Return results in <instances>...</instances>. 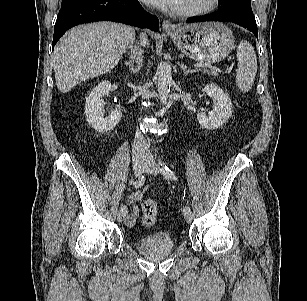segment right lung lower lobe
I'll use <instances>...</instances> for the list:
<instances>
[{
	"label": "right lung lower lobe",
	"mask_w": 307,
	"mask_h": 301,
	"mask_svg": "<svg viewBox=\"0 0 307 301\" xmlns=\"http://www.w3.org/2000/svg\"><path fill=\"white\" fill-rule=\"evenodd\" d=\"M101 20L121 22L153 31L159 29L158 18L146 12L137 0H62L54 27L52 48L69 28Z\"/></svg>",
	"instance_id": "obj_1"
}]
</instances>
